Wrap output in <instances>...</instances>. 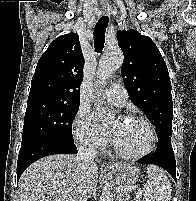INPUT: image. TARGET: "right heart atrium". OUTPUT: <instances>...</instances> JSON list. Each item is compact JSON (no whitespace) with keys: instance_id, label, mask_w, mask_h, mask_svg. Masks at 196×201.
<instances>
[{"instance_id":"right-heart-atrium-1","label":"right heart atrium","mask_w":196,"mask_h":201,"mask_svg":"<svg viewBox=\"0 0 196 201\" xmlns=\"http://www.w3.org/2000/svg\"><path fill=\"white\" fill-rule=\"evenodd\" d=\"M73 134L76 143L82 147L102 150L107 146L106 138L83 110H80L74 119Z\"/></svg>"}]
</instances>
